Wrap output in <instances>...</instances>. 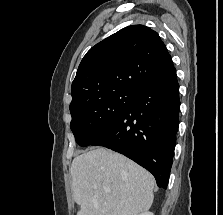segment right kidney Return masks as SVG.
Here are the masks:
<instances>
[{
	"mask_svg": "<svg viewBox=\"0 0 223 215\" xmlns=\"http://www.w3.org/2000/svg\"><path fill=\"white\" fill-rule=\"evenodd\" d=\"M139 215H154L152 211H143V213H139Z\"/></svg>",
	"mask_w": 223,
	"mask_h": 215,
	"instance_id": "1",
	"label": "right kidney"
}]
</instances>
